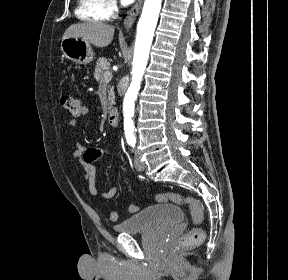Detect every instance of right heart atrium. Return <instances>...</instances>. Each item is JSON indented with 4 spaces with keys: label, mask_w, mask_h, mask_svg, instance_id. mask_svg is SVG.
I'll list each match as a JSON object with an SVG mask.
<instances>
[{
    "label": "right heart atrium",
    "mask_w": 288,
    "mask_h": 280,
    "mask_svg": "<svg viewBox=\"0 0 288 280\" xmlns=\"http://www.w3.org/2000/svg\"><path fill=\"white\" fill-rule=\"evenodd\" d=\"M106 1V12L108 17H112L118 10L116 0H105Z\"/></svg>",
    "instance_id": "d8ad5b80"
}]
</instances>
